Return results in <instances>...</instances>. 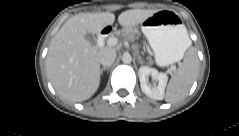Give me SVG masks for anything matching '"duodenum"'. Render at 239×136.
I'll return each instance as SVG.
<instances>
[{
	"instance_id": "410a0bca",
	"label": "duodenum",
	"mask_w": 239,
	"mask_h": 136,
	"mask_svg": "<svg viewBox=\"0 0 239 136\" xmlns=\"http://www.w3.org/2000/svg\"><path fill=\"white\" fill-rule=\"evenodd\" d=\"M113 28L110 25L104 26L98 36H97V40H96V44L97 46H102L103 43L105 42L106 38L108 37V35L112 32Z\"/></svg>"
}]
</instances>
